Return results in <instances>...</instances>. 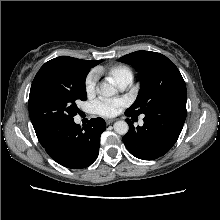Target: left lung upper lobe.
Returning a JSON list of instances; mask_svg holds the SVG:
<instances>
[{"label": "left lung upper lobe", "mask_w": 220, "mask_h": 220, "mask_svg": "<svg viewBox=\"0 0 220 220\" xmlns=\"http://www.w3.org/2000/svg\"><path fill=\"white\" fill-rule=\"evenodd\" d=\"M139 72L141 88L127 112L147 114L154 109L175 103H186V85L181 73L166 56L151 51H136L119 59Z\"/></svg>", "instance_id": "left-lung-upper-lobe-1"}]
</instances>
